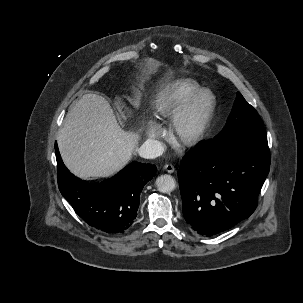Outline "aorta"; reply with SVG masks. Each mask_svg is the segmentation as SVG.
<instances>
[{"label":"aorta","instance_id":"obj_1","mask_svg":"<svg viewBox=\"0 0 303 303\" xmlns=\"http://www.w3.org/2000/svg\"><path fill=\"white\" fill-rule=\"evenodd\" d=\"M156 187L158 189V191L162 192V193H169L171 191H173L176 187V182L175 179L168 174H164L159 176L156 179Z\"/></svg>","mask_w":303,"mask_h":303}]
</instances>
